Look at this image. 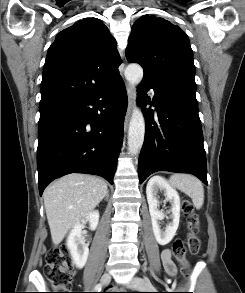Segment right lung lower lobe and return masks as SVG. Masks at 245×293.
Masks as SVG:
<instances>
[{
  "mask_svg": "<svg viewBox=\"0 0 245 293\" xmlns=\"http://www.w3.org/2000/svg\"><path fill=\"white\" fill-rule=\"evenodd\" d=\"M127 93L119 76L39 120V192L69 173L98 175L113 184L123 139Z\"/></svg>",
  "mask_w": 245,
  "mask_h": 293,
  "instance_id": "1",
  "label": "right lung lower lobe"
}]
</instances>
